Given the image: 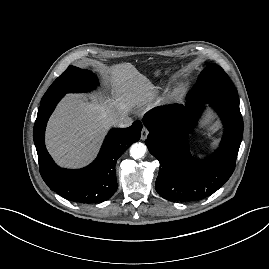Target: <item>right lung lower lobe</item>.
Returning a JSON list of instances; mask_svg holds the SVG:
<instances>
[{"instance_id": "98d812e1", "label": "right lung lower lobe", "mask_w": 269, "mask_h": 269, "mask_svg": "<svg viewBox=\"0 0 269 269\" xmlns=\"http://www.w3.org/2000/svg\"><path fill=\"white\" fill-rule=\"evenodd\" d=\"M64 95L41 103L33 129L40 173L49 188L67 200L77 203H98L108 200L117 190L115 165L118 158L140 139L142 123L135 121L128 128L112 129L97 158L79 170L57 166L46 150L44 135L47 121Z\"/></svg>"}]
</instances>
